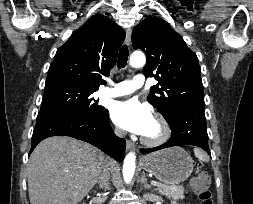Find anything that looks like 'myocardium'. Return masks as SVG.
Wrapping results in <instances>:
<instances>
[{
  "mask_svg": "<svg viewBox=\"0 0 253 204\" xmlns=\"http://www.w3.org/2000/svg\"><path fill=\"white\" fill-rule=\"evenodd\" d=\"M154 121L160 127V134L156 138L141 137V142L148 147H158L166 143L171 136V128L169 123L161 116H155Z\"/></svg>",
  "mask_w": 253,
  "mask_h": 204,
  "instance_id": "f54148a6",
  "label": "myocardium"
}]
</instances>
